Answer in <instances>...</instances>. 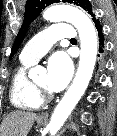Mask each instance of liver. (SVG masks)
<instances>
[{"instance_id":"obj_1","label":"liver","mask_w":117,"mask_h":136,"mask_svg":"<svg viewBox=\"0 0 117 136\" xmlns=\"http://www.w3.org/2000/svg\"><path fill=\"white\" fill-rule=\"evenodd\" d=\"M37 115L29 111H13L2 121L0 136H27Z\"/></svg>"}]
</instances>
